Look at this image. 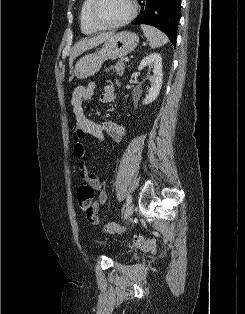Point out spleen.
<instances>
[{"mask_svg":"<svg viewBox=\"0 0 245 314\" xmlns=\"http://www.w3.org/2000/svg\"><path fill=\"white\" fill-rule=\"evenodd\" d=\"M141 29L144 36L148 39L151 48H158L168 43L167 36L159 29L146 24H141Z\"/></svg>","mask_w":245,"mask_h":314,"instance_id":"3e777b00","label":"spleen"}]
</instances>
